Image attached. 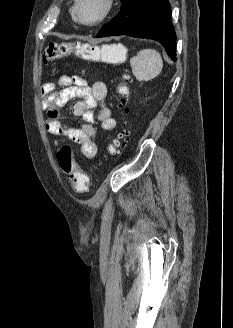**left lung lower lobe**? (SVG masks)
I'll list each match as a JSON object with an SVG mask.
<instances>
[{
    "label": "left lung lower lobe",
    "instance_id": "left-lung-lower-lobe-1",
    "mask_svg": "<svg viewBox=\"0 0 233 328\" xmlns=\"http://www.w3.org/2000/svg\"><path fill=\"white\" fill-rule=\"evenodd\" d=\"M170 18L168 0H124L118 15L100 29L97 37L128 35L154 39L176 61V35Z\"/></svg>",
    "mask_w": 233,
    "mask_h": 328
}]
</instances>
